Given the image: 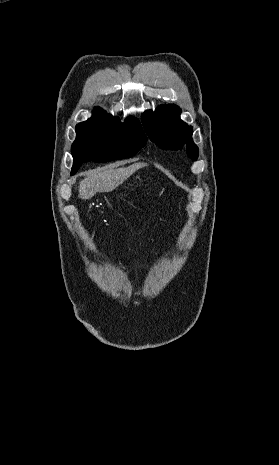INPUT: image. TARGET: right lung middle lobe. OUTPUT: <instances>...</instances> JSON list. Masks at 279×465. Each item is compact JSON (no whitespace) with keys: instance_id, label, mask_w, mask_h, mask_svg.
Returning <instances> with one entry per match:
<instances>
[{"instance_id":"1","label":"right lung middle lobe","mask_w":279,"mask_h":465,"mask_svg":"<svg viewBox=\"0 0 279 465\" xmlns=\"http://www.w3.org/2000/svg\"><path fill=\"white\" fill-rule=\"evenodd\" d=\"M146 141L142 130L133 126L97 125L76 130L71 174L88 161L106 162L132 157Z\"/></svg>"}]
</instances>
